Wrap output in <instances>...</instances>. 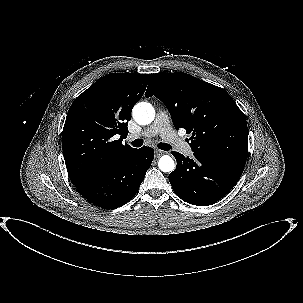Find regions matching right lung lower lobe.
Returning a JSON list of instances; mask_svg holds the SVG:
<instances>
[{"mask_svg": "<svg viewBox=\"0 0 303 303\" xmlns=\"http://www.w3.org/2000/svg\"><path fill=\"white\" fill-rule=\"evenodd\" d=\"M153 158L152 148L144 146L136 149L130 156L76 188L85 199L98 207H120L137 193Z\"/></svg>", "mask_w": 303, "mask_h": 303, "instance_id": "1", "label": "right lung lower lobe"}]
</instances>
